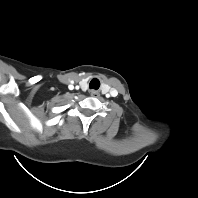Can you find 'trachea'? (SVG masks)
I'll use <instances>...</instances> for the list:
<instances>
[{
    "mask_svg": "<svg viewBox=\"0 0 198 198\" xmlns=\"http://www.w3.org/2000/svg\"><path fill=\"white\" fill-rule=\"evenodd\" d=\"M100 87V81L96 78L92 79L89 83V88L97 90Z\"/></svg>",
    "mask_w": 198,
    "mask_h": 198,
    "instance_id": "1",
    "label": "trachea"
}]
</instances>
